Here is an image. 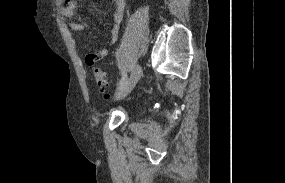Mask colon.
Instances as JSON below:
<instances>
[{"label":"colon","instance_id":"obj_1","mask_svg":"<svg viewBox=\"0 0 285 183\" xmlns=\"http://www.w3.org/2000/svg\"><path fill=\"white\" fill-rule=\"evenodd\" d=\"M93 77H94V81L96 84V87L98 88V90L104 94V96L106 98H108V94H107V87H108V81H107V77L105 75V73L100 70L99 68H95L94 69V73H93Z\"/></svg>","mask_w":285,"mask_h":183}]
</instances>
